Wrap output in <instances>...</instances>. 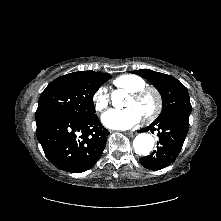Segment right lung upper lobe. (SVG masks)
Wrapping results in <instances>:
<instances>
[{
    "label": "right lung upper lobe",
    "mask_w": 221,
    "mask_h": 221,
    "mask_svg": "<svg viewBox=\"0 0 221 221\" xmlns=\"http://www.w3.org/2000/svg\"><path fill=\"white\" fill-rule=\"evenodd\" d=\"M79 73L84 74V75H90V76L103 74V73H98V72H93V71H81Z\"/></svg>",
    "instance_id": "right-lung-upper-lobe-1"
}]
</instances>
